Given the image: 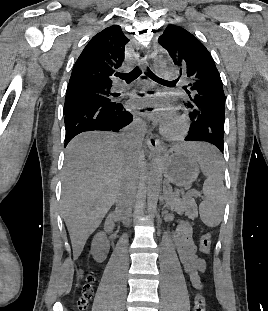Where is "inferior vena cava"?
<instances>
[{"label": "inferior vena cava", "instance_id": "602c4592", "mask_svg": "<svg viewBox=\"0 0 268 311\" xmlns=\"http://www.w3.org/2000/svg\"><path fill=\"white\" fill-rule=\"evenodd\" d=\"M128 144L133 147V152H138V146L135 141L128 135L125 136ZM137 183L132 171L129 172L127 178L122 182L117 207L123 218L124 223H128V217L131 214L133 202L136 194Z\"/></svg>", "mask_w": 268, "mask_h": 311}]
</instances>
